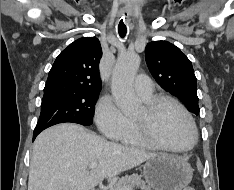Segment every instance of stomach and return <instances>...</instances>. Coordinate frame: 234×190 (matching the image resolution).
I'll use <instances>...</instances> for the list:
<instances>
[{
  "mask_svg": "<svg viewBox=\"0 0 234 190\" xmlns=\"http://www.w3.org/2000/svg\"><path fill=\"white\" fill-rule=\"evenodd\" d=\"M143 175L153 190H183L192 180L193 169L180 157L160 154L146 161Z\"/></svg>",
  "mask_w": 234,
  "mask_h": 190,
  "instance_id": "1",
  "label": "stomach"
}]
</instances>
